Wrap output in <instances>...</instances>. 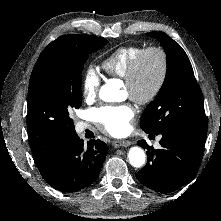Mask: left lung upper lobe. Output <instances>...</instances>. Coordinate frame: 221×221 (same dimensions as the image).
Returning a JSON list of instances; mask_svg holds the SVG:
<instances>
[{
    "label": "left lung upper lobe",
    "instance_id": "obj_1",
    "mask_svg": "<svg viewBox=\"0 0 221 221\" xmlns=\"http://www.w3.org/2000/svg\"><path fill=\"white\" fill-rule=\"evenodd\" d=\"M167 55V73L156 96L144 110L140 126L147 134H161L173 126L206 128L203 96L191 63L180 45L163 32H150Z\"/></svg>",
    "mask_w": 221,
    "mask_h": 221
}]
</instances>
